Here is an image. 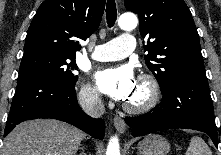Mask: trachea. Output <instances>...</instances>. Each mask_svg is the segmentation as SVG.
<instances>
[{
	"instance_id": "obj_1",
	"label": "trachea",
	"mask_w": 221,
	"mask_h": 155,
	"mask_svg": "<svg viewBox=\"0 0 221 155\" xmlns=\"http://www.w3.org/2000/svg\"><path fill=\"white\" fill-rule=\"evenodd\" d=\"M117 18V9L115 0H107L106 4V19L107 24L111 28L116 21Z\"/></svg>"
}]
</instances>
